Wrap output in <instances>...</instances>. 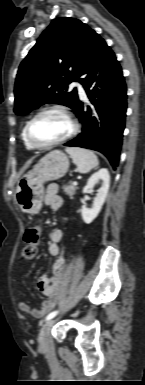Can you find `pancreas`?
Instances as JSON below:
<instances>
[{
    "mask_svg": "<svg viewBox=\"0 0 145 385\" xmlns=\"http://www.w3.org/2000/svg\"><path fill=\"white\" fill-rule=\"evenodd\" d=\"M62 189H63V192L65 193V194H67L68 196H70L71 198L73 197V195L75 194V192H76V189H77V187L75 186V185H73V184H68V185H64L63 187H62Z\"/></svg>",
    "mask_w": 145,
    "mask_h": 385,
    "instance_id": "pancreas-1",
    "label": "pancreas"
}]
</instances>
